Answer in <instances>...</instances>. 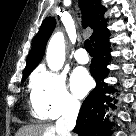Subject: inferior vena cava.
<instances>
[{"label": "inferior vena cava", "mask_w": 136, "mask_h": 136, "mask_svg": "<svg viewBox=\"0 0 136 136\" xmlns=\"http://www.w3.org/2000/svg\"><path fill=\"white\" fill-rule=\"evenodd\" d=\"M79 109V103L68 104L62 117L56 121L55 129L59 136H71L70 131L75 127Z\"/></svg>", "instance_id": "602c4592"}]
</instances>
